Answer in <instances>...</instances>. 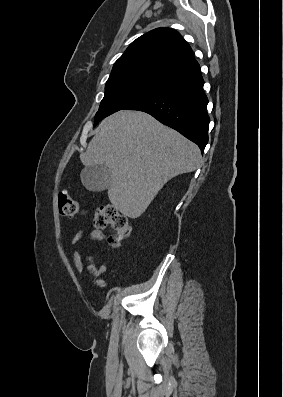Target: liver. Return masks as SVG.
<instances>
[{
    "mask_svg": "<svg viewBox=\"0 0 283 397\" xmlns=\"http://www.w3.org/2000/svg\"><path fill=\"white\" fill-rule=\"evenodd\" d=\"M80 159L86 167L109 168L110 202L135 219L166 182L196 170L202 157L196 144L149 114L121 110L101 122Z\"/></svg>",
    "mask_w": 283,
    "mask_h": 397,
    "instance_id": "6515ba94",
    "label": "liver"
}]
</instances>
